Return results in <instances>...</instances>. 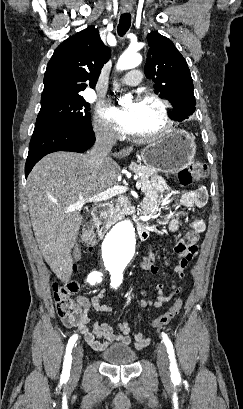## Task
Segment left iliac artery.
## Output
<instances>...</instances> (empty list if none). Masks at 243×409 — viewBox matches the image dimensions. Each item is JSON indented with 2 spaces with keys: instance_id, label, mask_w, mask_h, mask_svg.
<instances>
[{
  "instance_id": "1",
  "label": "left iliac artery",
  "mask_w": 243,
  "mask_h": 409,
  "mask_svg": "<svg viewBox=\"0 0 243 409\" xmlns=\"http://www.w3.org/2000/svg\"><path fill=\"white\" fill-rule=\"evenodd\" d=\"M110 274H111V286L113 288H117L121 284L122 279H123L122 272L120 270L111 269ZM162 339H163V342H164V344H165V346L167 348V353L169 355L171 378L175 379V380L179 379L180 378V373L178 371V367H177V364H176L173 345H172L170 339L168 338L167 334L162 333Z\"/></svg>"
}]
</instances>
